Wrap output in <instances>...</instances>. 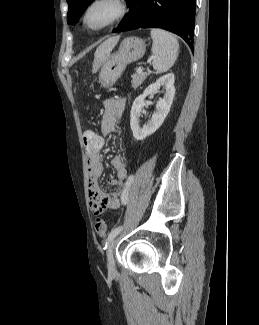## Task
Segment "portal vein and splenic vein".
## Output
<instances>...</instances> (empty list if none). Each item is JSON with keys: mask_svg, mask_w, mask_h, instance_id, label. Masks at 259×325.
<instances>
[{"mask_svg": "<svg viewBox=\"0 0 259 325\" xmlns=\"http://www.w3.org/2000/svg\"><path fill=\"white\" fill-rule=\"evenodd\" d=\"M141 72H142V68L139 67V68L137 69V73H141Z\"/></svg>", "mask_w": 259, "mask_h": 325, "instance_id": "18ae733b", "label": "portal vein and splenic vein"}]
</instances>
